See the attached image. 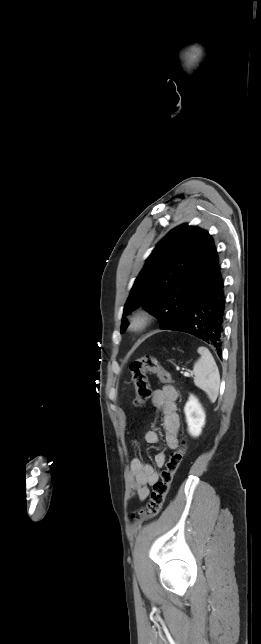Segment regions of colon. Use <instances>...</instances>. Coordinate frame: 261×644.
<instances>
[{
	"label": "colon",
	"instance_id": "colon-1",
	"mask_svg": "<svg viewBox=\"0 0 261 644\" xmlns=\"http://www.w3.org/2000/svg\"><path fill=\"white\" fill-rule=\"evenodd\" d=\"M130 372L135 389L134 403L136 406L144 405L151 396V388L147 378L148 373L155 374L163 383L170 384L173 382L171 373L152 355L134 360L130 364ZM185 450L186 442L183 440L179 448L170 454L159 480L152 485L150 501L146 509L134 514L137 520L145 521L158 516L168 496L174 476L183 460Z\"/></svg>",
	"mask_w": 261,
	"mask_h": 644
}]
</instances>
